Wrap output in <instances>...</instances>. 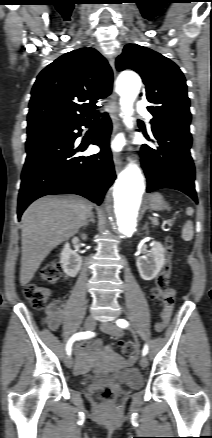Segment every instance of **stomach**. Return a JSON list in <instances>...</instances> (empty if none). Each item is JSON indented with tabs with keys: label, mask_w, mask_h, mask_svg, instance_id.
Wrapping results in <instances>:
<instances>
[{
	"label": "stomach",
	"mask_w": 212,
	"mask_h": 438,
	"mask_svg": "<svg viewBox=\"0 0 212 438\" xmlns=\"http://www.w3.org/2000/svg\"><path fill=\"white\" fill-rule=\"evenodd\" d=\"M147 204L150 209L155 211H162L168 208V204L159 193L150 194L147 198Z\"/></svg>",
	"instance_id": "1"
}]
</instances>
